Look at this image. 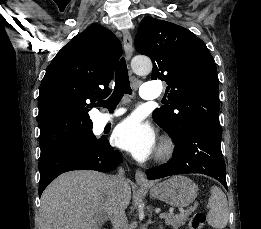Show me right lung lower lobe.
Listing matches in <instances>:
<instances>
[{
  "label": "right lung lower lobe",
  "instance_id": "right-lung-lower-lobe-1",
  "mask_svg": "<svg viewBox=\"0 0 261 229\" xmlns=\"http://www.w3.org/2000/svg\"><path fill=\"white\" fill-rule=\"evenodd\" d=\"M121 155L104 139L92 147H61L40 156L39 196L48 184L60 174L72 170L109 172L118 166Z\"/></svg>",
  "mask_w": 261,
  "mask_h": 229
}]
</instances>
